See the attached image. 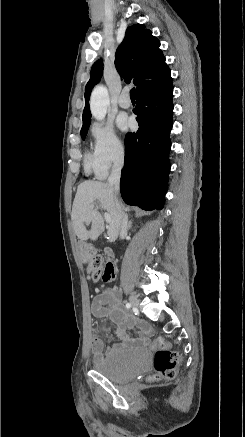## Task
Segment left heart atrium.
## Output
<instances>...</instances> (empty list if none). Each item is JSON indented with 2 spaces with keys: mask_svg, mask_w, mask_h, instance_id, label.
<instances>
[{
  "mask_svg": "<svg viewBox=\"0 0 245 437\" xmlns=\"http://www.w3.org/2000/svg\"><path fill=\"white\" fill-rule=\"evenodd\" d=\"M118 125H119V127H120L122 130H127L128 127H129V125H130V123H129V120H128L127 118H125V117H121V118L118 120Z\"/></svg>",
  "mask_w": 245,
  "mask_h": 437,
  "instance_id": "1",
  "label": "left heart atrium"
}]
</instances>
